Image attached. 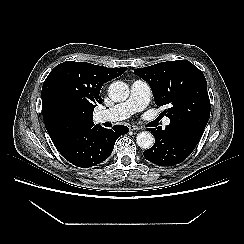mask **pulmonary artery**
<instances>
[{"label": "pulmonary artery", "instance_id": "e3ab8cb5", "mask_svg": "<svg viewBox=\"0 0 244 244\" xmlns=\"http://www.w3.org/2000/svg\"><path fill=\"white\" fill-rule=\"evenodd\" d=\"M151 89L143 80H135L130 87V95L127 100L109 109L100 111L96 115L99 122L124 120L136 112L142 111L149 103ZM170 119L165 118L164 125H169Z\"/></svg>", "mask_w": 244, "mask_h": 244}]
</instances>
